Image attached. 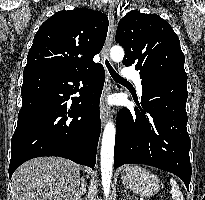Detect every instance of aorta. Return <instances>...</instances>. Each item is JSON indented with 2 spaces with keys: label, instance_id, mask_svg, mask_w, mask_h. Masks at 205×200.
I'll return each instance as SVG.
<instances>
[{
  "label": "aorta",
  "instance_id": "762f6f07",
  "mask_svg": "<svg viewBox=\"0 0 205 200\" xmlns=\"http://www.w3.org/2000/svg\"><path fill=\"white\" fill-rule=\"evenodd\" d=\"M110 57L114 62H120L124 57V50L121 46H113L110 50ZM115 126L112 121L105 125L102 146H101V178L104 196L107 198L110 193L112 168L114 161Z\"/></svg>",
  "mask_w": 205,
  "mask_h": 200
}]
</instances>
